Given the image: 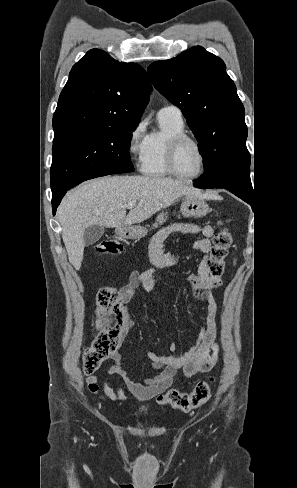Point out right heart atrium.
Here are the masks:
<instances>
[{
  "label": "right heart atrium",
  "instance_id": "right-heart-atrium-1",
  "mask_svg": "<svg viewBox=\"0 0 297 488\" xmlns=\"http://www.w3.org/2000/svg\"><path fill=\"white\" fill-rule=\"evenodd\" d=\"M146 138V124L141 120L132 128L127 141L128 153L138 163H141L145 153Z\"/></svg>",
  "mask_w": 297,
  "mask_h": 488
}]
</instances>
